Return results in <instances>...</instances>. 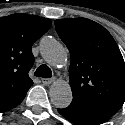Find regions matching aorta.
I'll use <instances>...</instances> for the list:
<instances>
[{"instance_id":"obj_1","label":"aorta","mask_w":125,"mask_h":125,"mask_svg":"<svg viewBox=\"0 0 125 125\" xmlns=\"http://www.w3.org/2000/svg\"><path fill=\"white\" fill-rule=\"evenodd\" d=\"M41 55L51 66H64L67 62L66 49L58 41L45 38L41 42ZM49 96L53 105L57 108H66L72 101L70 85L63 81H55L49 89Z\"/></svg>"}]
</instances>
